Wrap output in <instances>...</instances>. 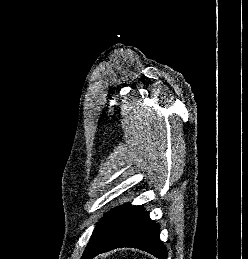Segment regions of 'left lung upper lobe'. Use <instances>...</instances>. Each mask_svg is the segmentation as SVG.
Masks as SVG:
<instances>
[{"instance_id": "obj_1", "label": "left lung upper lobe", "mask_w": 248, "mask_h": 259, "mask_svg": "<svg viewBox=\"0 0 248 259\" xmlns=\"http://www.w3.org/2000/svg\"><path fill=\"white\" fill-rule=\"evenodd\" d=\"M129 205V204H127ZM127 205H123L120 206L118 208H115L114 210L108 212L107 214H105L104 218L101 219V221L97 224V226L95 227L93 234L97 231V229L102 226L105 222H107L109 219H111L115 214H117L119 211H121L123 208H125Z\"/></svg>"}]
</instances>
